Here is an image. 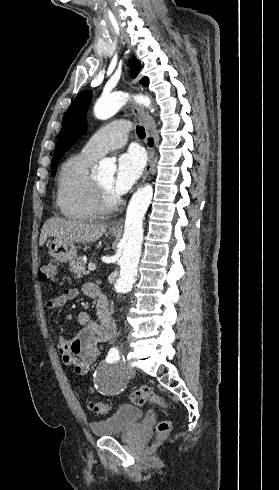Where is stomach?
Here are the masks:
<instances>
[{
	"label": "stomach",
	"instance_id": "0dacf381",
	"mask_svg": "<svg viewBox=\"0 0 279 490\" xmlns=\"http://www.w3.org/2000/svg\"><path fill=\"white\" fill-rule=\"evenodd\" d=\"M111 236H118L117 232H111ZM48 254L51 258H55L57 262H62V264H67V262H72L77 258V248L74 242H60V240H52L48 242Z\"/></svg>",
	"mask_w": 279,
	"mask_h": 490
}]
</instances>
